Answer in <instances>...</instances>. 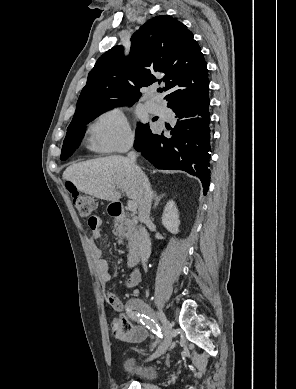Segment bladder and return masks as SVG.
<instances>
[{
	"mask_svg": "<svg viewBox=\"0 0 296 389\" xmlns=\"http://www.w3.org/2000/svg\"><path fill=\"white\" fill-rule=\"evenodd\" d=\"M125 367L131 376L142 381L153 380L158 375V372L155 367L135 366L133 359L127 360L125 363Z\"/></svg>",
	"mask_w": 296,
	"mask_h": 389,
	"instance_id": "obj_1",
	"label": "bladder"
}]
</instances>
